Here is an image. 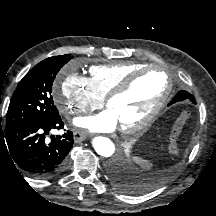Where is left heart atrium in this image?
<instances>
[{
    "instance_id": "1",
    "label": "left heart atrium",
    "mask_w": 216,
    "mask_h": 216,
    "mask_svg": "<svg viewBox=\"0 0 216 216\" xmlns=\"http://www.w3.org/2000/svg\"><path fill=\"white\" fill-rule=\"evenodd\" d=\"M73 123L91 132H111L117 126V118L114 113L108 109L99 114L89 117H78Z\"/></svg>"
}]
</instances>
